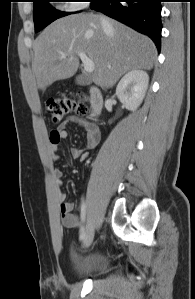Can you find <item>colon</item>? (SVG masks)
<instances>
[{
	"instance_id": "5ec220e1",
	"label": "colon",
	"mask_w": 195,
	"mask_h": 299,
	"mask_svg": "<svg viewBox=\"0 0 195 299\" xmlns=\"http://www.w3.org/2000/svg\"><path fill=\"white\" fill-rule=\"evenodd\" d=\"M46 110L51 115L54 123H59L67 114L74 111L80 115L87 113L88 108L82 101H78L69 96H58L48 98Z\"/></svg>"
}]
</instances>
